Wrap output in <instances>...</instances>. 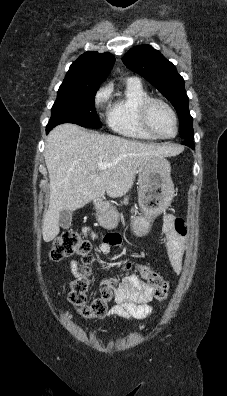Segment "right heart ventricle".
Wrapping results in <instances>:
<instances>
[{
	"mask_svg": "<svg viewBox=\"0 0 227 396\" xmlns=\"http://www.w3.org/2000/svg\"><path fill=\"white\" fill-rule=\"evenodd\" d=\"M149 97L148 91L138 79H127L123 91L111 101L108 109L107 123L111 130L132 139L156 140L140 121L141 104Z\"/></svg>",
	"mask_w": 227,
	"mask_h": 396,
	"instance_id": "1",
	"label": "right heart ventricle"
}]
</instances>
